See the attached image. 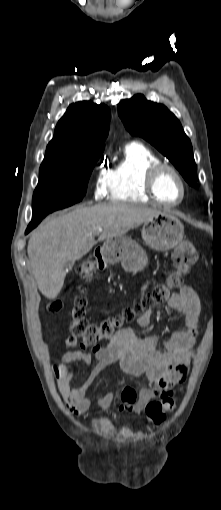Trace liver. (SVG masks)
I'll return each mask as SVG.
<instances>
[{"label": "liver", "instance_id": "liver-1", "mask_svg": "<svg viewBox=\"0 0 221 510\" xmlns=\"http://www.w3.org/2000/svg\"><path fill=\"white\" fill-rule=\"evenodd\" d=\"M160 213L142 205L112 202L78 207L47 219L32 232L27 247L39 291L54 300L63 287L65 264L85 256L96 245V235L99 241L123 236Z\"/></svg>", "mask_w": 221, "mask_h": 510}]
</instances>
